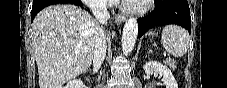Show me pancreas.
Listing matches in <instances>:
<instances>
[{"label":"pancreas","mask_w":227,"mask_h":88,"mask_svg":"<svg viewBox=\"0 0 227 88\" xmlns=\"http://www.w3.org/2000/svg\"><path fill=\"white\" fill-rule=\"evenodd\" d=\"M165 63L172 69H176V63L173 59H166Z\"/></svg>","instance_id":"cf45deb5"}]
</instances>
